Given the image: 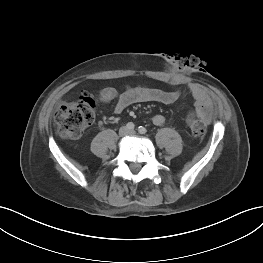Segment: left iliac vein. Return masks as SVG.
Listing matches in <instances>:
<instances>
[{
	"label": "left iliac vein",
	"instance_id": "4c4485c4",
	"mask_svg": "<svg viewBox=\"0 0 263 263\" xmlns=\"http://www.w3.org/2000/svg\"><path fill=\"white\" fill-rule=\"evenodd\" d=\"M129 134H130V135H135L136 132H135L134 130H131V131H129Z\"/></svg>",
	"mask_w": 263,
	"mask_h": 263
}]
</instances>
